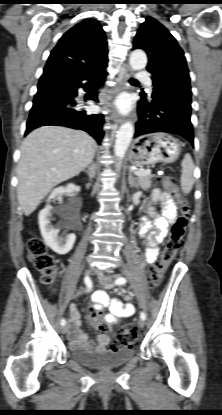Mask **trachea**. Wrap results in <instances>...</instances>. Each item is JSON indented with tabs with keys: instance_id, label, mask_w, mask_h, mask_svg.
I'll list each match as a JSON object with an SVG mask.
<instances>
[{
	"instance_id": "1",
	"label": "trachea",
	"mask_w": 222,
	"mask_h": 415,
	"mask_svg": "<svg viewBox=\"0 0 222 415\" xmlns=\"http://www.w3.org/2000/svg\"><path fill=\"white\" fill-rule=\"evenodd\" d=\"M129 81L130 82H134V83H138V81L136 79H134V78H131Z\"/></svg>"
}]
</instances>
